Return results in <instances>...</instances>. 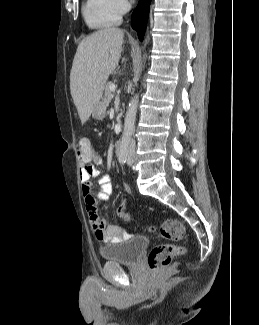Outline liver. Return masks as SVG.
Instances as JSON below:
<instances>
[{
  "instance_id": "obj_1",
  "label": "liver",
  "mask_w": 259,
  "mask_h": 325,
  "mask_svg": "<svg viewBox=\"0 0 259 325\" xmlns=\"http://www.w3.org/2000/svg\"><path fill=\"white\" fill-rule=\"evenodd\" d=\"M123 37L122 30L106 28L78 45L70 72V91L82 124L99 103L108 77L118 65Z\"/></svg>"
}]
</instances>
